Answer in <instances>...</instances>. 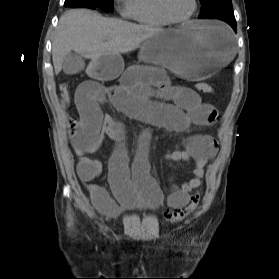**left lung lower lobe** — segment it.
<instances>
[{
	"mask_svg": "<svg viewBox=\"0 0 279 279\" xmlns=\"http://www.w3.org/2000/svg\"><path fill=\"white\" fill-rule=\"evenodd\" d=\"M217 19H220L222 21L227 22L233 28V30L235 32H237V24H236L234 14L233 15L220 16Z\"/></svg>",
	"mask_w": 279,
	"mask_h": 279,
	"instance_id": "left-lung-lower-lobe-1",
	"label": "left lung lower lobe"
}]
</instances>
